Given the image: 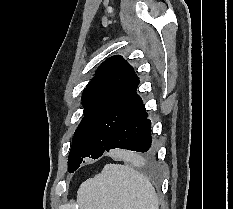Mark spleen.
<instances>
[{
    "label": "spleen",
    "mask_w": 233,
    "mask_h": 209,
    "mask_svg": "<svg viewBox=\"0 0 233 209\" xmlns=\"http://www.w3.org/2000/svg\"><path fill=\"white\" fill-rule=\"evenodd\" d=\"M80 209H158L151 182L127 165L107 164L77 192Z\"/></svg>",
    "instance_id": "spleen-1"
}]
</instances>
